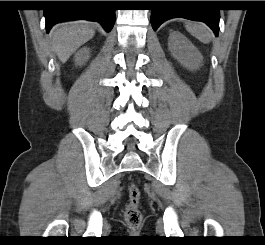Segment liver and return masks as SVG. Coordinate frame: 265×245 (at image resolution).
<instances>
[{
  "label": "liver",
  "mask_w": 265,
  "mask_h": 245,
  "mask_svg": "<svg viewBox=\"0 0 265 245\" xmlns=\"http://www.w3.org/2000/svg\"><path fill=\"white\" fill-rule=\"evenodd\" d=\"M94 29L90 23L80 20L55 25L50 31L52 50L65 63L83 44L93 38Z\"/></svg>",
  "instance_id": "1"
}]
</instances>
